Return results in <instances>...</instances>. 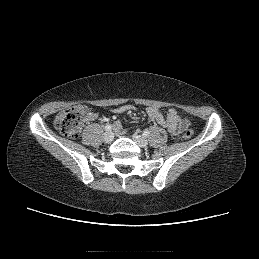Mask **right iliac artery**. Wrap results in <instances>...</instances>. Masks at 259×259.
Here are the masks:
<instances>
[{
  "label": "right iliac artery",
  "instance_id": "obj_1",
  "mask_svg": "<svg viewBox=\"0 0 259 259\" xmlns=\"http://www.w3.org/2000/svg\"><path fill=\"white\" fill-rule=\"evenodd\" d=\"M111 128H112V126H111L110 124H107V125L105 126V129H106L107 131H110Z\"/></svg>",
  "mask_w": 259,
  "mask_h": 259
}]
</instances>
